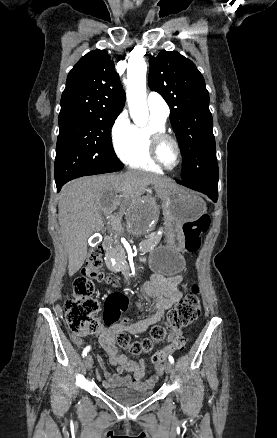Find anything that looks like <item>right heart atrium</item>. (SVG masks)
<instances>
[{"instance_id": "obj_1", "label": "right heart atrium", "mask_w": 277, "mask_h": 438, "mask_svg": "<svg viewBox=\"0 0 277 438\" xmlns=\"http://www.w3.org/2000/svg\"><path fill=\"white\" fill-rule=\"evenodd\" d=\"M131 125L126 117L118 116L112 127V138L117 150H120L129 140Z\"/></svg>"}]
</instances>
